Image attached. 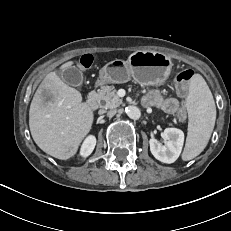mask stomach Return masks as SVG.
I'll use <instances>...</instances> for the list:
<instances>
[{
  "label": "stomach",
  "mask_w": 231,
  "mask_h": 231,
  "mask_svg": "<svg viewBox=\"0 0 231 231\" xmlns=\"http://www.w3.org/2000/svg\"><path fill=\"white\" fill-rule=\"evenodd\" d=\"M170 57L161 52L137 51L126 61L116 59L107 63L99 72L104 83H125L133 78L146 86L161 85L172 68Z\"/></svg>",
  "instance_id": "obj_1"
}]
</instances>
